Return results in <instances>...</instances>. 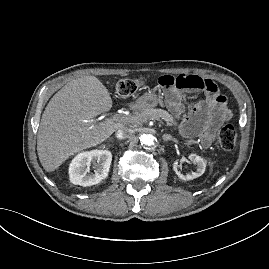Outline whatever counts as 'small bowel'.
Wrapping results in <instances>:
<instances>
[{
    "label": "small bowel",
    "mask_w": 269,
    "mask_h": 269,
    "mask_svg": "<svg viewBox=\"0 0 269 269\" xmlns=\"http://www.w3.org/2000/svg\"><path fill=\"white\" fill-rule=\"evenodd\" d=\"M150 85L155 88H163L165 91L179 88L203 90L206 93V98L194 105L180 125L181 132L186 136L196 137L203 148L210 146L216 129L231 117L226 97L219 93L215 81L211 77L159 74L150 80ZM168 107L175 114L181 111L182 104L178 93H171L168 98Z\"/></svg>",
    "instance_id": "obj_1"
}]
</instances>
